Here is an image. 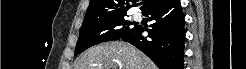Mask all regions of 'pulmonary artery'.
I'll list each match as a JSON object with an SVG mask.
<instances>
[{"instance_id":"obj_1","label":"pulmonary artery","mask_w":246,"mask_h":69,"mask_svg":"<svg viewBox=\"0 0 246 69\" xmlns=\"http://www.w3.org/2000/svg\"><path fill=\"white\" fill-rule=\"evenodd\" d=\"M135 18L139 19L140 18V13H135Z\"/></svg>"}]
</instances>
